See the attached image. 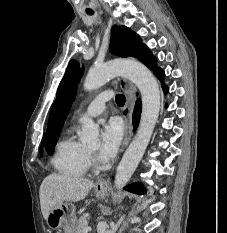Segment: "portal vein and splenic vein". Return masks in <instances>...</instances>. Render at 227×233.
I'll use <instances>...</instances> for the list:
<instances>
[{
  "label": "portal vein and splenic vein",
  "instance_id": "1",
  "mask_svg": "<svg viewBox=\"0 0 227 233\" xmlns=\"http://www.w3.org/2000/svg\"><path fill=\"white\" fill-rule=\"evenodd\" d=\"M88 231H91V228L87 226V227L85 228L84 232L87 233Z\"/></svg>",
  "mask_w": 227,
  "mask_h": 233
}]
</instances>
